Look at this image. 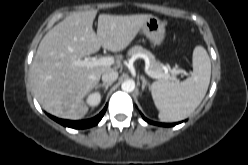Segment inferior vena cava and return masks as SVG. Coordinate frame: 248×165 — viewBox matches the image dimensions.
Instances as JSON below:
<instances>
[{"label":"inferior vena cava","mask_w":248,"mask_h":165,"mask_svg":"<svg viewBox=\"0 0 248 165\" xmlns=\"http://www.w3.org/2000/svg\"><path fill=\"white\" fill-rule=\"evenodd\" d=\"M118 78V72L111 69L102 74V81L106 84L113 83Z\"/></svg>","instance_id":"1"}]
</instances>
